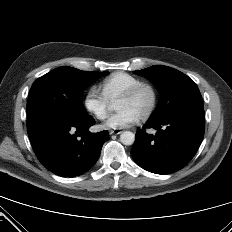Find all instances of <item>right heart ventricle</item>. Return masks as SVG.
Instances as JSON below:
<instances>
[{"mask_svg": "<svg viewBox=\"0 0 232 232\" xmlns=\"http://www.w3.org/2000/svg\"><path fill=\"white\" fill-rule=\"evenodd\" d=\"M142 80L126 72H115L104 78L100 83L101 93L109 102H114L117 98Z\"/></svg>", "mask_w": 232, "mask_h": 232, "instance_id": "obj_1", "label": "right heart ventricle"}]
</instances>
